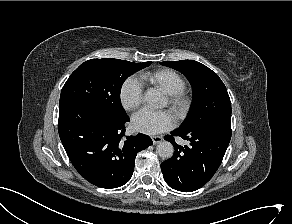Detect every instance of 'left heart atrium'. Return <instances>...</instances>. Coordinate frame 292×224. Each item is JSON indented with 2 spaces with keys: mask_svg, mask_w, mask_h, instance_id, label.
<instances>
[{
  "mask_svg": "<svg viewBox=\"0 0 292 224\" xmlns=\"http://www.w3.org/2000/svg\"><path fill=\"white\" fill-rule=\"evenodd\" d=\"M175 125L173 115L168 111L152 112L141 110L132 117L135 131L155 135L172 129Z\"/></svg>",
  "mask_w": 292,
  "mask_h": 224,
  "instance_id": "obj_1",
  "label": "left heart atrium"
}]
</instances>
